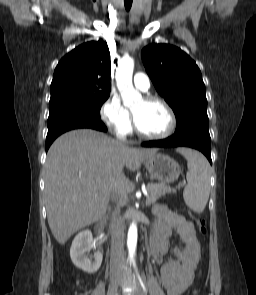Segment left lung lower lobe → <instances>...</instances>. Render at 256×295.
<instances>
[{
	"label": "left lung lower lobe",
	"instance_id": "obj_1",
	"mask_svg": "<svg viewBox=\"0 0 256 295\" xmlns=\"http://www.w3.org/2000/svg\"><path fill=\"white\" fill-rule=\"evenodd\" d=\"M144 147H191L201 151L212 164L211 138L209 131L201 129H186L174 133L171 137L163 140L149 141L142 144Z\"/></svg>",
	"mask_w": 256,
	"mask_h": 295
}]
</instances>
